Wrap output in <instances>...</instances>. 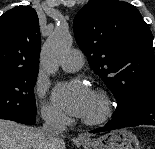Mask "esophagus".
Segmentation results:
<instances>
[{"mask_svg": "<svg viewBox=\"0 0 155 149\" xmlns=\"http://www.w3.org/2000/svg\"><path fill=\"white\" fill-rule=\"evenodd\" d=\"M78 140L85 141V140H87V137L84 134H79L78 135Z\"/></svg>", "mask_w": 155, "mask_h": 149, "instance_id": "esophagus-1", "label": "esophagus"}]
</instances>
